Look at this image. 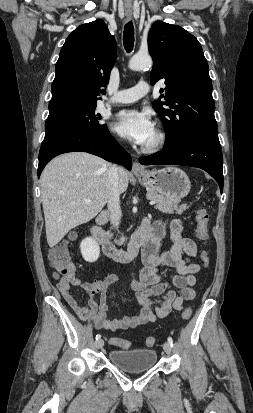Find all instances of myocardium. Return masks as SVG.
<instances>
[{
    "label": "myocardium",
    "instance_id": "obj_1",
    "mask_svg": "<svg viewBox=\"0 0 253 413\" xmlns=\"http://www.w3.org/2000/svg\"><path fill=\"white\" fill-rule=\"evenodd\" d=\"M167 142V134L162 128L155 130V140L147 145H143L141 150L144 153H156L164 148Z\"/></svg>",
    "mask_w": 253,
    "mask_h": 413
}]
</instances>
